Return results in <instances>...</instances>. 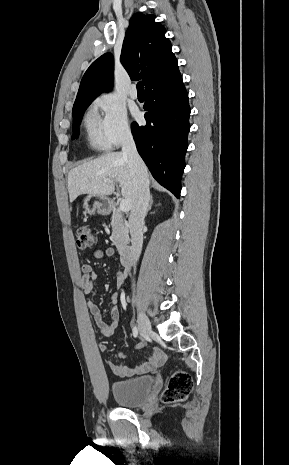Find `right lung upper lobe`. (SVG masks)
Here are the masks:
<instances>
[{
    "instance_id": "obj_1",
    "label": "right lung upper lobe",
    "mask_w": 289,
    "mask_h": 465,
    "mask_svg": "<svg viewBox=\"0 0 289 465\" xmlns=\"http://www.w3.org/2000/svg\"><path fill=\"white\" fill-rule=\"evenodd\" d=\"M166 29L155 16L135 13L130 19L121 52V63L131 79L139 77L145 90L167 84L181 76ZM113 56L106 53L85 72L75 103L94 100L112 86Z\"/></svg>"
}]
</instances>
